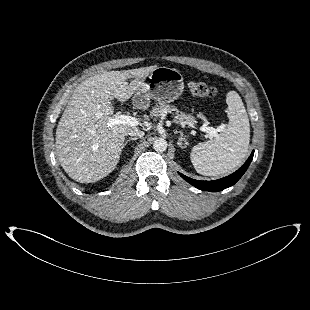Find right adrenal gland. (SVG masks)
Listing matches in <instances>:
<instances>
[{"instance_id":"2a0ac1e0","label":"right adrenal gland","mask_w":310,"mask_h":310,"mask_svg":"<svg viewBox=\"0 0 310 310\" xmlns=\"http://www.w3.org/2000/svg\"><path fill=\"white\" fill-rule=\"evenodd\" d=\"M137 138H129L128 140H126L125 142H124V145H123V147H125L126 145H127V143L128 142H130L131 140H136Z\"/></svg>"}]
</instances>
